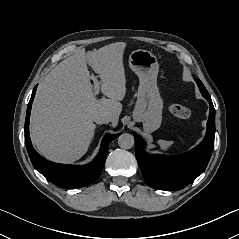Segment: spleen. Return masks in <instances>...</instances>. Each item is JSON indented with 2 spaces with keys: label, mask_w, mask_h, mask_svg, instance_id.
Wrapping results in <instances>:
<instances>
[{
  "label": "spleen",
  "mask_w": 239,
  "mask_h": 239,
  "mask_svg": "<svg viewBox=\"0 0 239 239\" xmlns=\"http://www.w3.org/2000/svg\"><path fill=\"white\" fill-rule=\"evenodd\" d=\"M173 141L159 140L158 144L163 151H167L172 145Z\"/></svg>",
  "instance_id": "1"
}]
</instances>
